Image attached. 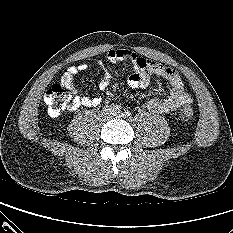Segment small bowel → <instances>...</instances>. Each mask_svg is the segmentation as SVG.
Returning a JSON list of instances; mask_svg holds the SVG:
<instances>
[{
  "label": "small bowel",
  "mask_w": 233,
  "mask_h": 233,
  "mask_svg": "<svg viewBox=\"0 0 233 233\" xmlns=\"http://www.w3.org/2000/svg\"><path fill=\"white\" fill-rule=\"evenodd\" d=\"M106 60L109 63L117 64L128 61L133 66V72L128 78V85L132 89L147 88L153 77L165 79L171 86L169 96L165 99L151 98L145 103V108L149 111L164 114L174 111L186 104H190L192 99L186 92L182 79L178 72L172 67L164 66L150 59L141 57L135 52L127 49L110 50L106 53ZM87 69L86 64L71 66L67 69L61 79V83L74 95L70 108L75 110L81 106L97 107L101 103L100 97L80 96L79 90L74 83V76ZM111 83V78L105 75L100 82V89L106 90Z\"/></svg>",
  "instance_id": "obj_1"
}]
</instances>
